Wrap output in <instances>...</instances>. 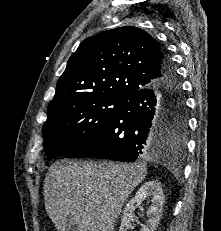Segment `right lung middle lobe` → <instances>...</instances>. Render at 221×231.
Returning <instances> with one entry per match:
<instances>
[{
    "mask_svg": "<svg viewBox=\"0 0 221 231\" xmlns=\"http://www.w3.org/2000/svg\"><path fill=\"white\" fill-rule=\"evenodd\" d=\"M124 101L115 96H90L72 101L48 116L42 128L43 146L48 158L63 156L76 148L102 128ZM163 117L164 136L182 149L187 130L184 101L169 104Z\"/></svg>",
    "mask_w": 221,
    "mask_h": 231,
    "instance_id": "1",
    "label": "right lung middle lobe"
}]
</instances>
